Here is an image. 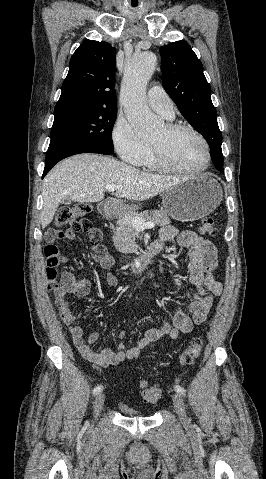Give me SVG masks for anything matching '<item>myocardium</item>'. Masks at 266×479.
<instances>
[{"mask_svg": "<svg viewBox=\"0 0 266 479\" xmlns=\"http://www.w3.org/2000/svg\"><path fill=\"white\" fill-rule=\"evenodd\" d=\"M166 129L172 132L175 131H189L193 135H195L198 140L201 142L203 149H204V162L200 167L193 168V169H188L184 167H178L173 165L171 162H169L164 155L162 154V151L154 144L151 142L152 149H153V156L155 158V161L159 165V167L167 172H173V173H183V174H199L204 171H206L210 165L211 161V152H210V147L205 139V137L194 127L188 124L184 123H168L165 125Z\"/></svg>", "mask_w": 266, "mask_h": 479, "instance_id": "myocardium-1", "label": "myocardium"}]
</instances>
